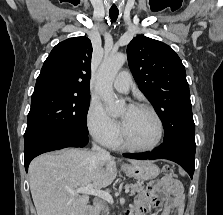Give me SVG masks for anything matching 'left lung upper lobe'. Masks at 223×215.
Here are the masks:
<instances>
[{"label":"left lung upper lobe","instance_id":"5c2ea615","mask_svg":"<svg viewBox=\"0 0 223 215\" xmlns=\"http://www.w3.org/2000/svg\"><path fill=\"white\" fill-rule=\"evenodd\" d=\"M128 63L140 90L164 127V141L195 138L185 67L167 44L136 36L127 46Z\"/></svg>","mask_w":223,"mask_h":215}]
</instances>
